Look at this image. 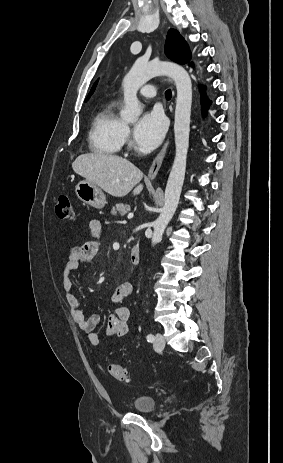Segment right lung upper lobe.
Returning a JSON list of instances; mask_svg holds the SVG:
<instances>
[{
  "label": "right lung upper lobe",
  "mask_w": 283,
  "mask_h": 463,
  "mask_svg": "<svg viewBox=\"0 0 283 463\" xmlns=\"http://www.w3.org/2000/svg\"><path fill=\"white\" fill-rule=\"evenodd\" d=\"M96 85H97V81H96V83L93 85V87H92V89H91V91H90L88 97L86 98V101H87V100L89 99V97L93 94V92H94V90H95V88H96Z\"/></svg>",
  "instance_id": "1"
}]
</instances>
